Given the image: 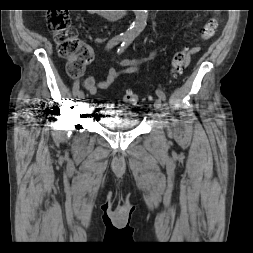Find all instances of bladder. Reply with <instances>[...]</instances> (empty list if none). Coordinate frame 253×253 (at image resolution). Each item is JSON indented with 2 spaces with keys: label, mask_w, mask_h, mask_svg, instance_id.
Masks as SVG:
<instances>
[{
  "label": "bladder",
  "mask_w": 253,
  "mask_h": 253,
  "mask_svg": "<svg viewBox=\"0 0 253 253\" xmlns=\"http://www.w3.org/2000/svg\"><path fill=\"white\" fill-rule=\"evenodd\" d=\"M114 111L103 110L100 114V122L106 129L113 131H127L138 126L136 117L125 106H111Z\"/></svg>",
  "instance_id": "obj_1"
}]
</instances>
